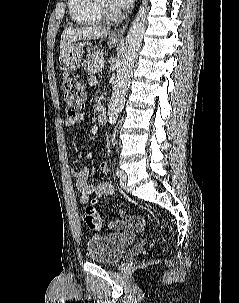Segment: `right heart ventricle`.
Returning a JSON list of instances; mask_svg holds the SVG:
<instances>
[{
  "label": "right heart ventricle",
  "mask_w": 239,
  "mask_h": 303,
  "mask_svg": "<svg viewBox=\"0 0 239 303\" xmlns=\"http://www.w3.org/2000/svg\"><path fill=\"white\" fill-rule=\"evenodd\" d=\"M71 19L80 25L99 24L103 20L96 0H68Z\"/></svg>",
  "instance_id": "e07e8e85"
}]
</instances>
